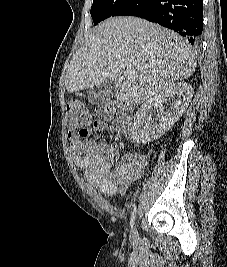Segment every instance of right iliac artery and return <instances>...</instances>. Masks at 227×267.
<instances>
[{
  "instance_id": "right-iliac-artery-1",
  "label": "right iliac artery",
  "mask_w": 227,
  "mask_h": 267,
  "mask_svg": "<svg viewBox=\"0 0 227 267\" xmlns=\"http://www.w3.org/2000/svg\"><path fill=\"white\" fill-rule=\"evenodd\" d=\"M135 218H136V207H134L132 214H131V218H130L131 231L133 230V227H134Z\"/></svg>"
}]
</instances>
